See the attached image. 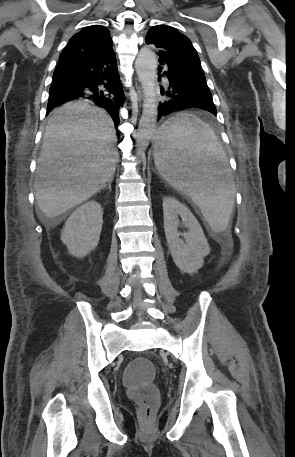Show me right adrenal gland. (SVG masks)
Returning a JSON list of instances; mask_svg holds the SVG:
<instances>
[{
	"mask_svg": "<svg viewBox=\"0 0 295 457\" xmlns=\"http://www.w3.org/2000/svg\"><path fill=\"white\" fill-rule=\"evenodd\" d=\"M112 181H113V179H111L110 181H108V184H107V185H105V186L103 187V189H106V188H108V189H109V191L111 192V191H112V189H111V183H112Z\"/></svg>",
	"mask_w": 295,
	"mask_h": 457,
	"instance_id": "obj_1",
	"label": "right adrenal gland"
}]
</instances>
